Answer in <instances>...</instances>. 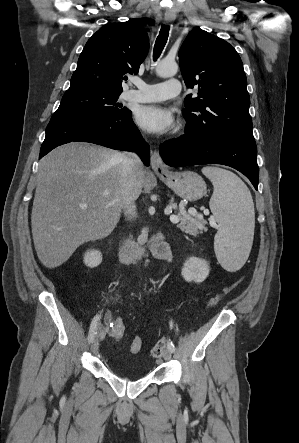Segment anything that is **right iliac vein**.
Wrapping results in <instances>:
<instances>
[{
	"label": "right iliac vein",
	"mask_w": 299,
	"mask_h": 443,
	"mask_svg": "<svg viewBox=\"0 0 299 443\" xmlns=\"http://www.w3.org/2000/svg\"><path fill=\"white\" fill-rule=\"evenodd\" d=\"M98 348H99V343H98V340L97 339H94L93 340V342H92V344H91V352L93 353V354H95V353H97L98 352Z\"/></svg>",
	"instance_id": "obj_1"
}]
</instances>
